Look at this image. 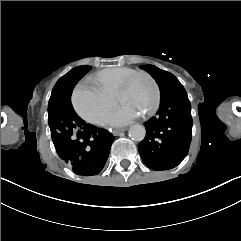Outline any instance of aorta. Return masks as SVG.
<instances>
[{"instance_id": "aorta-1", "label": "aorta", "mask_w": 241, "mask_h": 241, "mask_svg": "<svg viewBox=\"0 0 241 241\" xmlns=\"http://www.w3.org/2000/svg\"><path fill=\"white\" fill-rule=\"evenodd\" d=\"M128 134L133 141L141 142L146 136V129L142 125L135 124L130 127Z\"/></svg>"}]
</instances>
